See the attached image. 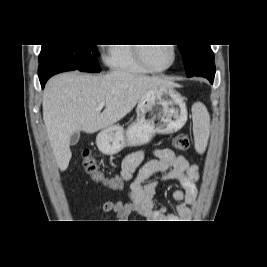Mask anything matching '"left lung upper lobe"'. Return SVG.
I'll list each match as a JSON object with an SVG mask.
<instances>
[{
	"mask_svg": "<svg viewBox=\"0 0 267 267\" xmlns=\"http://www.w3.org/2000/svg\"><path fill=\"white\" fill-rule=\"evenodd\" d=\"M184 60L187 77L207 65H214V54L210 45H178Z\"/></svg>",
	"mask_w": 267,
	"mask_h": 267,
	"instance_id": "5c2ea615",
	"label": "left lung upper lobe"
}]
</instances>
